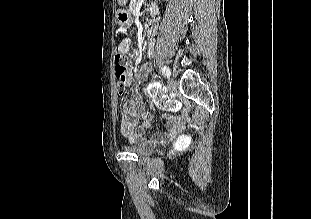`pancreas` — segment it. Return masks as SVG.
<instances>
[{"mask_svg":"<svg viewBox=\"0 0 311 219\" xmlns=\"http://www.w3.org/2000/svg\"><path fill=\"white\" fill-rule=\"evenodd\" d=\"M140 3L142 5V3H144V0H131V3L129 5V12L130 13H134L136 10V6L137 4ZM153 5H151L150 7H152Z\"/></svg>","mask_w":311,"mask_h":219,"instance_id":"1","label":"pancreas"}]
</instances>
